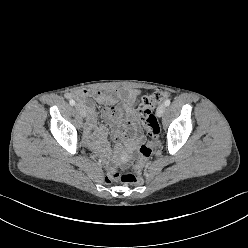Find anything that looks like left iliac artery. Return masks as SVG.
I'll return each instance as SVG.
<instances>
[{
    "label": "left iliac artery",
    "instance_id": "left-iliac-artery-1",
    "mask_svg": "<svg viewBox=\"0 0 248 248\" xmlns=\"http://www.w3.org/2000/svg\"><path fill=\"white\" fill-rule=\"evenodd\" d=\"M164 104H165L166 106H169V105H170V100L167 99V100L164 102Z\"/></svg>",
    "mask_w": 248,
    "mask_h": 248
}]
</instances>
